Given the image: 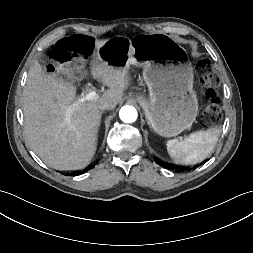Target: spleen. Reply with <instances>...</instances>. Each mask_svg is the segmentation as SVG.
Instances as JSON below:
<instances>
[{"label": "spleen", "mask_w": 253, "mask_h": 253, "mask_svg": "<svg viewBox=\"0 0 253 253\" xmlns=\"http://www.w3.org/2000/svg\"><path fill=\"white\" fill-rule=\"evenodd\" d=\"M219 134L217 127L196 131L182 141L169 140L166 144L167 151L176 164L194 165L212 154Z\"/></svg>", "instance_id": "obj_1"}]
</instances>
